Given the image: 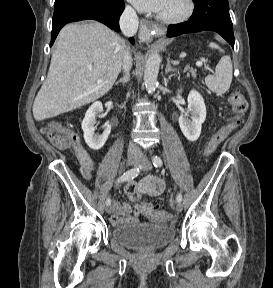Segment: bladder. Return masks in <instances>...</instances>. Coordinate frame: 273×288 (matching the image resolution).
<instances>
[{"label": "bladder", "instance_id": "1", "mask_svg": "<svg viewBox=\"0 0 273 288\" xmlns=\"http://www.w3.org/2000/svg\"><path fill=\"white\" fill-rule=\"evenodd\" d=\"M112 240L120 247L148 252L163 248L175 238L173 228L149 223L116 225L111 232Z\"/></svg>", "mask_w": 273, "mask_h": 288}]
</instances>
